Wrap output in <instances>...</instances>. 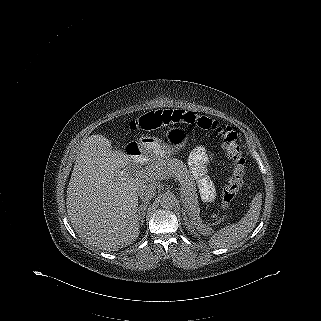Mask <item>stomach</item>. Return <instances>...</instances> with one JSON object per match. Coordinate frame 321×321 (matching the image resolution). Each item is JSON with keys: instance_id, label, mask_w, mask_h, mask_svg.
I'll list each match as a JSON object with an SVG mask.
<instances>
[{"instance_id": "obj_1", "label": "stomach", "mask_w": 321, "mask_h": 321, "mask_svg": "<svg viewBox=\"0 0 321 321\" xmlns=\"http://www.w3.org/2000/svg\"><path fill=\"white\" fill-rule=\"evenodd\" d=\"M166 136L168 143L157 137L143 136L136 142V146L139 150L152 157H166L175 150L185 147L186 139L178 128H170Z\"/></svg>"}]
</instances>
